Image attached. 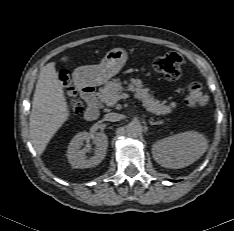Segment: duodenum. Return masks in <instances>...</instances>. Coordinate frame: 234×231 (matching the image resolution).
Masks as SVG:
<instances>
[{"label":"duodenum","instance_id":"410a0bca","mask_svg":"<svg viewBox=\"0 0 234 231\" xmlns=\"http://www.w3.org/2000/svg\"><path fill=\"white\" fill-rule=\"evenodd\" d=\"M76 83L82 98L87 103L85 119L87 121L95 120L99 116V109L96 103L95 87L81 79H77Z\"/></svg>","mask_w":234,"mask_h":231}]
</instances>
